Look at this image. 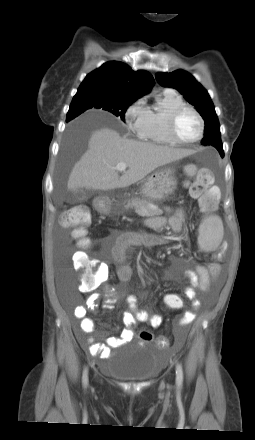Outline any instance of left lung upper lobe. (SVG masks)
Instances as JSON below:
<instances>
[{"label": "left lung upper lobe", "instance_id": "1", "mask_svg": "<svg viewBox=\"0 0 255 440\" xmlns=\"http://www.w3.org/2000/svg\"><path fill=\"white\" fill-rule=\"evenodd\" d=\"M155 77L161 86L177 89L190 104L197 108L205 122V135L201 143L214 146L223 157L220 125L208 92L191 74L184 70L157 73Z\"/></svg>", "mask_w": 255, "mask_h": 440}]
</instances>
